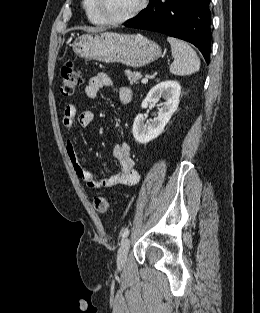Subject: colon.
Listing matches in <instances>:
<instances>
[{
	"instance_id": "colon-1",
	"label": "colon",
	"mask_w": 260,
	"mask_h": 313,
	"mask_svg": "<svg viewBox=\"0 0 260 313\" xmlns=\"http://www.w3.org/2000/svg\"><path fill=\"white\" fill-rule=\"evenodd\" d=\"M83 84V75L73 61H67L61 68V92L65 96L73 95ZM95 210L102 215L110 212L109 201L101 196L94 199Z\"/></svg>"
}]
</instances>
